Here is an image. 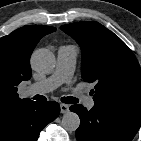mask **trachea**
Returning <instances> with one entry per match:
<instances>
[{
    "label": "trachea",
    "instance_id": "trachea-1",
    "mask_svg": "<svg viewBox=\"0 0 141 141\" xmlns=\"http://www.w3.org/2000/svg\"><path fill=\"white\" fill-rule=\"evenodd\" d=\"M34 98L39 101H46V98L42 95H36ZM61 101L66 104H74L78 102V99L72 96H68V97H62Z\"/></svg>",
    "mask_w": 141,
    "mask_h": 141
}]
</instances>
